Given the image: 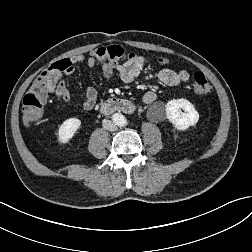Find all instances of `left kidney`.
I'll use <instances>...</instances> for the list:
<instances>
[{
  "label": "left kidney",
  "instance_id": "5707ae66",
  "mask_svg": "<svg viewBox=\"0 0 252 252\" xmlns=\"http://www.w3.org/2000/svg\"><path fill=\"white\" fill-rule=\"evenodd\" d=\"M181 109L185 113L181 112ZM166 113L168 120L178 130H186L195 125L199 120V114L188 100L173 99L166 104Z\"/></svg>",
  "mask_w": 252,
  "mask_h": 252
}]
</instances>
